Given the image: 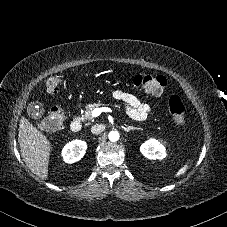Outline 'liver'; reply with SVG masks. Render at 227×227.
I'll use <instances>...</instances> for the list:
<instances>
[{"instance_id":"6515ba94","label":"liver","mask_w":227,"mask_h":227,"mask_svg":"<svg viewBox=\"0 0 227 227\" xmlns=\"http://www.w3.org/2000/svg\"><path fill=\"white\" fill-rule=\"evenodd\" d=\"M18 142L26 166L39 178H48L50 142L25 117L19 123Z\"/></svg>"}]
</instances>
